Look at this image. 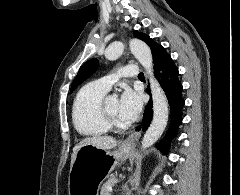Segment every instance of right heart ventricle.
<instances>
[{
    "mask_svg": "<svg viewBox=\"0 0 240 195\" xmlns=\"http://www.w3.org/2000/svg\"><path fill=\"white\" fill-rule=\"evenodd\" d=\"M108 93L98 81L85 85L77 94L72 118L76 129L85 136L98 137L109 131L102 115V102Z\"/></svg>",
    "mask_w": 240,
    "mask_h": 195,
    "instance_id": "right-heart-ventricle-1",
    "label": "right heart ventricle"
}]
</instances>
